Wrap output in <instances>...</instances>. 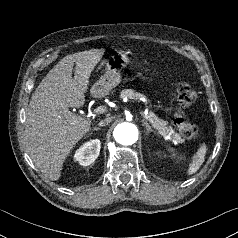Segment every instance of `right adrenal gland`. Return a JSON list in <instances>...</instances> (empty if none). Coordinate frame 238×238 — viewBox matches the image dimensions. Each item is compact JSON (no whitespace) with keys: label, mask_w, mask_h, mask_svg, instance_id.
Returning a JSON list of instances; mask_svg holds the SVG:
<instances>
[{"label":"right adrenal gland","mask_w":238,"mask_h":238,"mask_svg":"<svg viewBox=\"0 0 238 238\" xmlns=\"http://www.w3.org/2000/svg\"><path fill=\"white\" fill-rule=\"evenodd\" d=\"M98 130H100L99 127H94V128L92 129V131H98Z\"/></svg>","instance_id":"1"}]
</instances>
